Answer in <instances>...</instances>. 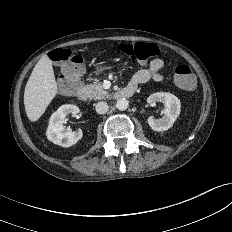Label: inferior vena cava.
I'll return each mask as SVG.
<instances>
[{"label": "inferior vena cava", "mask_w": 232, "mask_h": 232, "mask_svg": "<svg viewBox=\"0 0 232 232\" xmlns=\"http://www.w3.org/2000/svg\"><path fill=\"white\" fill-rule=\"evenodd\" d=\"M108 111V104L106 102H98L96 104V112L98 114H105Z\"/></svg>", "instance_id": "obj_1"}]
</instances>
